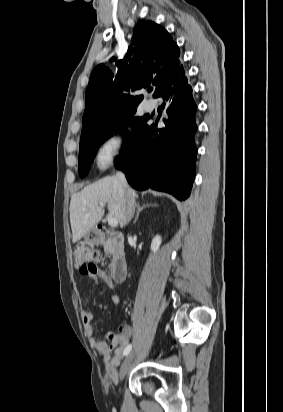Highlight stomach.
<instances>
[{
  "instance_id": "1",
  "label": "stomach",
  "mask_w": 283,
  "mask_h": 412,
  "mask_svg": "<svg viewBox=\"0 0 283 412\" xmlns=\"http://www.w3.org/2000/svg\"><path fill=\"white\" fill-rule=\"evenodd\" d=\"M84 239H85V242L88 243V244H94V243L97 242L96 237H95L94 234L91 233V232L86 233V234L84 235Z\"/></svg>"
}]
</instances>
